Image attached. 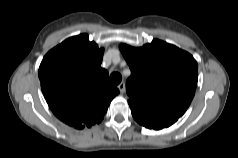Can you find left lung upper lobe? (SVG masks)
<instances>
[{
  "label": "left lung upper lobe",
  "mask_w": 238,
  "mask_h": 158,
  "mask_svg": "<svg viewBox=\"0 0 238 158\" xmlns=\"http://www.w3.org/2000/svg\"><path fill=\"white\" fill-rule=\"evenodd\" d=\"M131 76L126 82L131 112L148 117H180L197 87L198 64L189 53L154 39L134 48L120 45Z\"/></svg>",
  "instance_id": "1"
}]
</instances>
